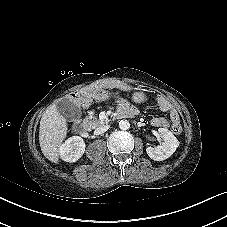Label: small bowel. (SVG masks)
Listing matches in <instances>:
<instances>
[{
  "label": "small bowel",
  "instance_id": "c3829d8e",
  "mask_svg": "<svg viewBox=\"0 0 227 227\" xmlns=\"http://www.w3.org/2000/svg\"><path fill=\"white\" fill-rule=\"evenodd\" d=\"M107 98H108V96H106V95L101 96V99H103V100H106ZM117 103H118L119 111H122L125 113H132V114L136 113V109L133 106L129 105L125 100L118 99ZM160 109L165 112L166 111L170 112V117H171L173 127L175 125H180L179 124V115H178L177 111L173 108V106L168 101L161 102ZM151 124H152V126H154L156 128L168 127V121L161 117H154L151 120Z\"/></svg>",
  "mask_w": 227,
  "mask_h": 227
}]
</instances>
